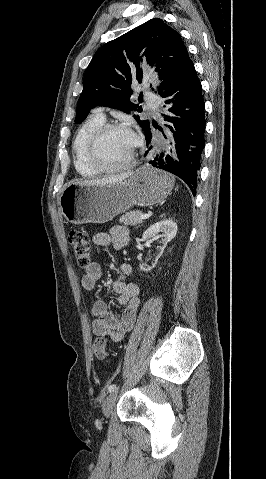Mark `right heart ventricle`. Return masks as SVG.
<instances>
[{
	"instance_id": "obj_1",
	"label": "right heart ventricle",
	"mask_w": 266,
	"mask_h": 479,
	"mask_svg": "<svg viewBox=\"0 0 266 479\" xmlns=\"http://www.w3.org/2000/svg\"><path fill=\"white\" fill-rule=\"evenodd\" d=\"M105 118L99 114L91 115L78 129L73 141L74 166L84 177H95L99 173L92 169L86 160V146L92 133L104 124Z\"/></svg>"
}]
</instances>
